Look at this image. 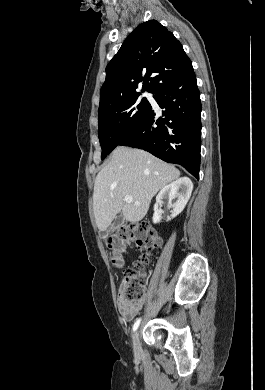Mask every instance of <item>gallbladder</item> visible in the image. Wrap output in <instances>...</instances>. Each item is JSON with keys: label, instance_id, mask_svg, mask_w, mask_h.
<instances>
[{"label": "gallbladder", "instance_id": "1", "mask_svg": "<svg viewBox=\"0 0 265 390\" xmlns=\"http://www.w3.org/2000/svg\"><path fill=\"white\" fill-rule=\"evenodd\" d=\"M125 218L122 213H119L113 223L111 224L110 228L107 230V234H111L114 231L118 230L123 224H124Z\"/></svg>", "mask_w": 265, "mask_h": 390}]
</instances>
